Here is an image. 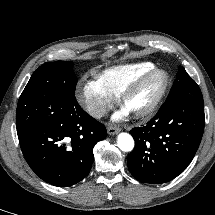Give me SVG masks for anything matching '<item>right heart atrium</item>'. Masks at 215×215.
Segmentation results:
<instances>
[{"mask_svg":"<svg viewBox=\"0 0 215 215\" xmlns=\"http://www.w3.org/2000/svg\"><path fill=\"white\" fill-rule=\"evenodd\" d=\"M75 95L78 103L95 119L104 117L116 101V95L96 78L80 80Z\"/></svg>","mask_w":215,"mask_h":215,"instance_id":"right-heart-atrium-1","label":"right heart atrium"}]
</instances>
